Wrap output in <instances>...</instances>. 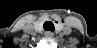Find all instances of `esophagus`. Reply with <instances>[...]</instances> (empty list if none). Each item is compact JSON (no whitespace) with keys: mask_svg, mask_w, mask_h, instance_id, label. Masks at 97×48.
<instances>
[{"mask_svg":"<svg viewBox=\"0 0 97 48\" xmlns=\"http://www.w3.org/2000/svg\"><path fill=\"white\" fill-rule=\"evenodd\" d=\"M45 35H46V36H52V33H51V32H46Z\"/></svg>","mask_w":97,"mask_h":48,"instance_id":"obj_1","label":"esophagus"}]
</instances>
